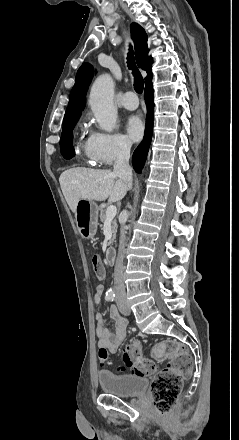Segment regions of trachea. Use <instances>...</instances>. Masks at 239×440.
I'll return each mask as SVG.
<instances>
[{"label": "trachea", "mask_w": 239, "mask_h": 440, "mask_svg": "<svg viewBox=\"0 0 239 440\" xmlns=\"http://www.w3.org/2000/svg\"><path fill=\"white\" fill-rule=\"evenodd\" d=\"M127 64L128 68L132 71V74L134 76V89L137 93H142L144 88V81L143 77L137 68V65L135 63V58L133 54L132 48H130V51L128 53L127 57Z\"/></svg>", "instance_id": "1"}]
</instances>
